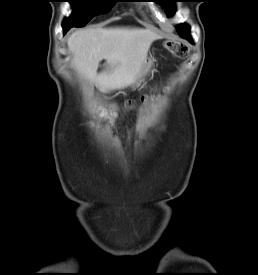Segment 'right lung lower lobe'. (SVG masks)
<instances>
[{"instance_id":"right-lung-lower-lobe-1","label":"right lung lower lobe","mask_w":258,"mask_h":275,"mask_svg":"<svg viewBox=\"0 0 258 275\" xmlns=\"http://www.w3.org/2000/svg\"><path fill=\"white\" fill-rule=\"evenodd\" d=\"M72 28L71 26H63V30H64V34H66V32Z\"/></svg>"}]
</instances>
